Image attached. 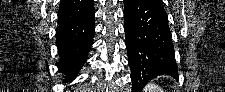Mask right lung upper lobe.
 <instances>
[{
    "label": "right lung upper lobe",
    "mask_w": 225,
    "mask_h": 92,
    "mask_svg": "<svg viewBox=\"0 0 225 92\" xmlns=\"http://www.w3.org/2000/svg\"><path fill=\"white\" fill-rule=\"evenodd\" d=\"M93 11V0H61L58 12V23L78 20Z\"/></svg>",
    "instance_id": "cb5924a9"
}]
</instances>
